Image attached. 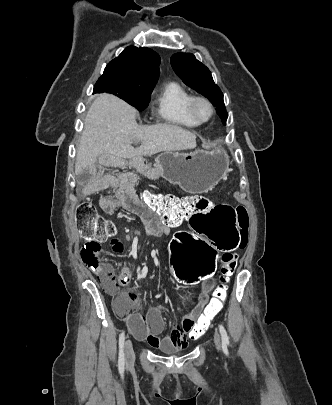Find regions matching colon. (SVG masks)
<instances>
[{
  "mask_svg": "<svg viewBox=\"0 0 332 405\" xmlns=\"http://www.w3.org/2000/svg\"><path fill=\"white\" fill-rule=\"evenodd\" d=\"M140 189L139 197L145 212L154 211L155 216L165 223L191 221V227L173 234V240H170L171 253L167 261L170 275L178 281L179 287H198L199 281H209L221 262L220 283L213 298L207 307L199 311L194 329L189 330L190 341L200 342L210 318L216 316L226 300L227 285L236 267L235 250L247 245V211L244 207H233V202H214L212 211H202L213 206L206 197L153 193L144 185ZM76 225L87 239L80 251L83 263L99 270L102 267L100 240L113 232V225L98 213L90 201L77 205ZM113 252L118 256L122 251L117 247ZM103 279L106 289L114 297L115 308L123 315L128 314L134 304V296L120 289L122 283L113 272H105Z\"/></svg>",
  "mask_w": 332,
  "mask_h": 405,
  "instance_id": "5ec220e1",
  "label": "colon"
}]
</instances>
